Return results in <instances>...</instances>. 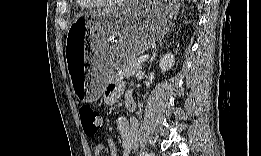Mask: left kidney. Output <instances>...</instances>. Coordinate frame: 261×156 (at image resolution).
Segmentation results:
<instances>
[{"label":"left kidney","mask_w":261,"mask_h":156,"mask_svg":"<svg viewBox=\"0 0 261 156\" xmlns=\"http://www.w3.org/2000/svg\"><path fill=\"white\" fill-rule=\"evenodd\" d=\"M175 64V58L174 55L171 53L166 54L159 63V67L162 72H167L169 69H171Z\"/></svg>","instance_id":"left-kidney-1"}]
</instances>
